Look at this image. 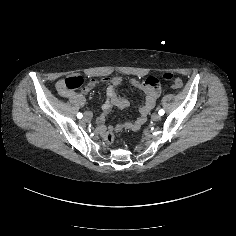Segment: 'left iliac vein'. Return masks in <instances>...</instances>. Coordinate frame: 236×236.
Returning a JSON list of instances; mask_svg holds the SVG:
<instances>
[{
    "instance_id": "1",
    "label": "left iliac vein",
    "mask_w": 236,
    "mask_h": 236,
    "mask_svg": "<svg viewBox=\"0 0 236 236\" xmlns=\"http://www.w3.org/2000/svg\"><path fill=\"white\" fill-rule=\"evenodd\" d=\"M160 118H161V116H160L158 113H153V114L151 115V119H152L153 121H159Z\"/></svg>"
}]
</instances>
